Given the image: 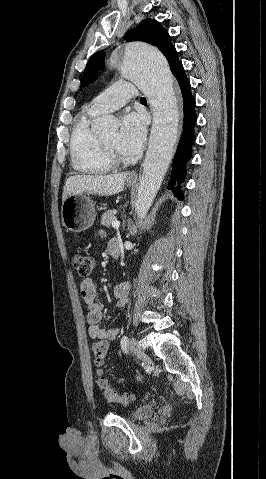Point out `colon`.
Segmentation results:
<instances>
[{"label": "colon", "mask_w": 266, "mask_h": 479, "mask_svg": "<svg viewBox=\"0 0 266 479\" xmlns=\"http://www.w3.org/2000/svg\"><path fill=\"white\" fill-rule=\"evenodd\" d=\"M71 264L78 276L82 278H88L92 272L94 260L90 255L84 254L82 252H74L71 256ZM95 364L97 366H102L105 361V357L108 351V341L98 340L93 344L92 347ZM98 387L101 389L104 398L112 403H121L128 404L134 400L132 394H118L113 390L106 378L99 373L97 378Z\"/></svg>", "instance_id": "colon-1"}]
</instances>
